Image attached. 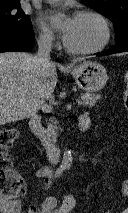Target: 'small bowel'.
Returning <instances> with one entry per match:
<instances>
[{
    "instance_id": "c3829d8e",
    "label": "small bowel",
    "mask_w": 128,
    "mask_h": 213,
    "mask_svg": "<svg viewBox=\"0 0 128 213\" xmlns=\"http://www.w3.org/2000/svg\"><path fill=\"white\" fill-rule=\"evenodd\" d=\"M39 183V194L32 202L27 213H59L60 202L47 192L54 177L51 167H41L36 172ZM0 213H21V203L18 200H0Z\"/></svg>"
}]
</instances>
